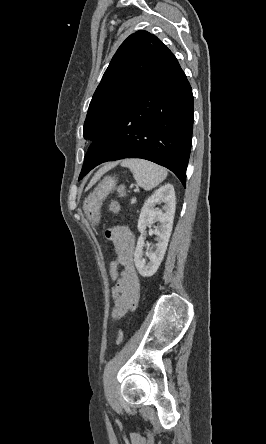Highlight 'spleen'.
<instances>
[{"instance_id":"3e777b00","label":"spleen","mask_w":266,"mask_h":444,"mask_svg":"<svg viewBox=\"0 0 266 444\" xmlns=\"http://www.w3.org/2000/svg\"><path fill=\"white\" fill-rule=\"evenodd\" d=\"M121 165L128 167L136 183L147 191L158 186L167 177L165 168L144 159H125Z\"/></svg>"}]
</instances>
